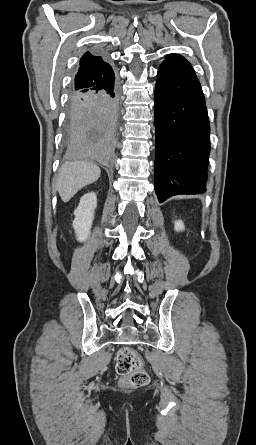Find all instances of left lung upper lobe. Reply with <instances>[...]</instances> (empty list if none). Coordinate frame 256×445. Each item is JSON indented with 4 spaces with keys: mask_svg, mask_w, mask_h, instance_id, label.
I'll return each instance as SVG.
<instances>
[{
    "mask_svg": "<svg viewBox=\"0 0 256 445\" xmlns=\"http://www.w3.org/2000/svg\"><path fill=\"white\" fill-rule=\"evenodd\" d=\"M163 63H168L176 68H179L185 72L195 74L191 64L182 56L172 54L166 57Z\"/></svg>",
    "mask_w": 256,
    "mask_h": 445,
    "instance_id": "1",
    "label": "left lung upper lobe"
}]
</instances>
